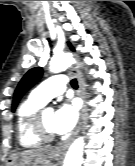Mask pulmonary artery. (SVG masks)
<instances>
[{
	"mask_svg": "<svg viewBox=\"0 0 135 166\" xmlns=\"http://www.w3.org/2000/svg\"><path fill=\"white\" fill-rule=\"evenodd\" d=\"M67 86V79L63 74H56L39 84L32 95L46 103L55 96L62 94Z\"/></svg>",
	"mask_w": 135,
	"mask_h": 166,
	"instance_id": "pulmonary-artery-1",
	"label": "pulmonary artery"
}]
</instances>
